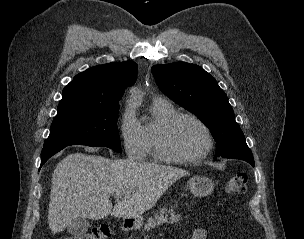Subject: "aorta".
<instances>
[{
  "mask_svg": "<svg viewBox=\"0 0 304 239\" xmlns=\"http://www.w3.org/2000/svg\"><path fill=\"white\" fill-rule=\"evenodd\" d=\"M131 100L135 102L139 101V93L135 89H133L131 92Z\"/></svg>",
  "mask_w": 304,
  "mask_h": 239,
  "instance_id": "obj_1",
  "label": "aorta"
}]
</instances>
